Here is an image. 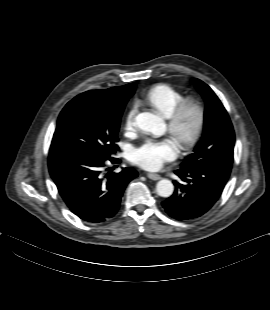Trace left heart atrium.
Wrapping results in <instances>:
<instances>
[{"label":"left heart atrium","instance_id":"1","mask_svg":"<svg viewBox=\"0 0 270 310\" xmlns=\"http://www.w3.org/2000/svg\"><path fill=\"white\" fill-rule=\"evenodd\" d=\"M177 156V147L171 140H147L132 149L130 160L132 163L147 169L156 170L165 162L172 161Z\"/></svg>","mask_w":270,"mask_h":310}]
</instances>
